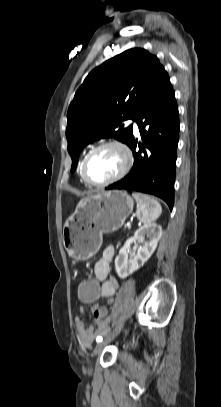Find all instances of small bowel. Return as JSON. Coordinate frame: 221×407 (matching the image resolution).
Masks as SVG:
<instances>
[{
    "instance_id": "obj_1",
    "label": "small bowel",
    "mask_w": 221,
    "mask_h": 407,
    "mask_svg": "<svg viewBox=\"0 0 221 407\" xmlns=\"http://www.w3.org/2000/svg\"><path fill=\"white\" fill-rule=\"evenodd\" d=\"M114 255L115 248L113 246L106 247L94 268L95 277H97L99 283H101L100 297L107 298L109 304L113 302L119 287L117 279L114 276H110V265ZM93 306L94 311L98 305L95 303ZM80 312L83 313L84 310L80 309ZM103 319H96L93 325H86L80 317L75 318L78 339L82 347H89L96 336L106 331L107 321Z\"/></svg>"
}]
</instances>
